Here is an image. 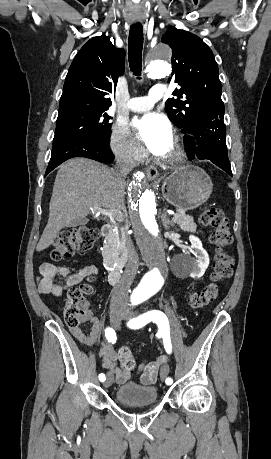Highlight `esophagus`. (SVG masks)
I'll return each instance as SVG.
<instances>
[{
	"label": "esophagus",
	"mask_w": 271,
	"mask_h": 459,
	"mask_svg": "<svg viewBox=\"0 0 271 459\" xmlns=\"http://www.w3.org/2000/svg\"><path fill=\"white\" fill-rule=\"evenodd\" d=\"M147 178L151 181L155 180L158 175V169L155 165H149L146 169Z\"/></svg>",
	"instance_id": "esophagus-1"
}]
</instances>
